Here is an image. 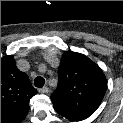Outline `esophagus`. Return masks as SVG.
Returning a JSON list of instances; mask_svg holds the SVG:
<instances>
[{
    "mask_svg": "<svg viewBox=\"0 0 123 123\" xmlns=\"http://www.w3.org/2000/svg\"><path fill=\"white\" fill-rule=\"evenodd\" d=\"M39 92H41V93H48L49 92V88L47 86H45L42 89H40Z\"/></svg>",
    "mask_w": 123,
    "mask_h": 123,
    "instance_id": "34e87169",
    "label": "esophagus"
}]
</instances>
